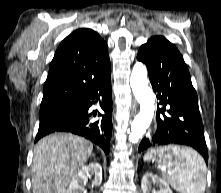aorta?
Listing matches in <instances>:
<instances>
[{"instance_id":"aorta-1","label":"aorta","mask_w":221,"mask_h":193,"mask_svg":"<svg viewBox=\"0 0 221 193\" xmlns=\"http://www.w3.org/2000/svg\"><path fill=\"white\" fill-rule=\"evenodd\" d=\"M148 83L146 66L136 62L132 69L130 85L140 104V111L131 124L128 140L132 144H136L144 135L154 117L155 95Z\"/></svg>"}]
</instances>
